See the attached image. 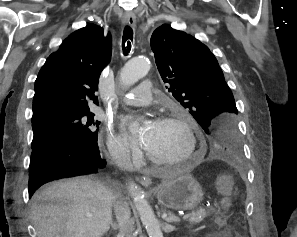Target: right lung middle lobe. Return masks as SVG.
Returning a JSON list of instances; mask_svg holds the SVG:
<instances>
[{
	"label": "right lung middle lobe",
	"instance_id": "dd1d6c3e",
	"mask_svg": "<svg viewBox=\"0 0 297 237\" xmlns=\"http://www.w3.org/2000/svg\"><path fill=\"white\" fill-rule=\"evenodd\" d=\"M99 121L94 120L91 112L60 111L44 115L32 121L34 143L37 139L50 133H65L84 143L97 142Z\"/></svg>",
	"mask_w": 297,
	"mask_h": 237
}]
</instances>
